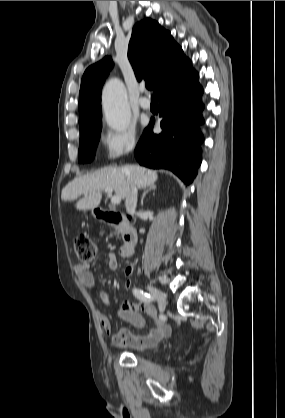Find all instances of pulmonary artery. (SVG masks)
I'll list each match as a JSON object with an SVG mask.
<instances>
[{
    "label": "pulmonary artery",
    "mask_w": 285,
    "mask_h": 418,
    "mask_svg": "<svg viewBox=\"0 0 285 418\" xmlns=\"http://www.w3.org/2000/svg\"><path fill=\"white\" fill-rule=\"evenodd\" d=\"M141 93H142V96L139 98L138 104L141 107V109H143V110H149L150 107H151V102H150L149 98H147L145 96L146 89L145 88H141Z\"/></svg>",
    "instance_id": "obj_1"
}]
</instances>
